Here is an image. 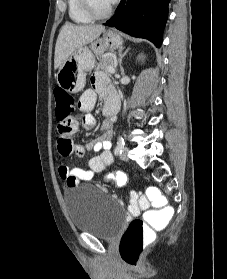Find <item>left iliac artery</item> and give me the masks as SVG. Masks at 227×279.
I'll use <instances>...</instances> for the list:
<instances>
[{
  "instance_id": "44dca946",
  "label": "left iliac artery",
  "mask_w": 227,
  "mask_h": 279,
  "mask_svg": "<svg viewBox=\"0 0 227 279\" xmlns=\"http://www.w3.org/2000/svg\"><path fill=\"white\" fill-rule=\"evenodd\" d=\"M125 142L122 136L119 135L118 140H117V145L115 147V154L118 155L122 153L123 148H124Z\"/></svg>"
}]
</instances>
